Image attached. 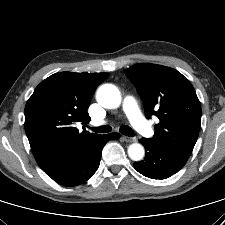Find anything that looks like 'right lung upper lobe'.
<instances>
[{"instance_id": "1", "label": "right lung upper lobe", "mask_w": 225, "mask_h": 225, "mask_svg": "<svg viewBox=\"0 0 225 225\" xmlns=\"http://www.w3.org/2000/svg\"><path fill=\"white\" fill-rule=\"evenodd\" d=\"M107 73H55L42 81L25 106V131L38 164L57 149L87 141L97 134L77 122H89L87 112L97 86Z\"/></svg>"}]
</instances>
